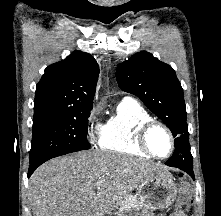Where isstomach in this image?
Here are the masks:
<instances>
[{"instance_id":"stomach-1","label":"stomach","mask_w":221,"mask_h":216,"mask_svg":"<svg viewBox=\"0 0 221 216\" xmlns=\"http://www.w3.org/2000/svg\"><path fill=\"white\" fill-rule=\"evenodd\" d=\"M138 206L126 210L121 216H143L172 205L177 196V184L169 172L155 174L142 181L137 188ZM142 209L143 212H139Z\"/></svg>"}]
</instances>
